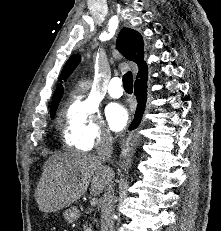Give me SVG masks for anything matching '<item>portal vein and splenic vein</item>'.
I'll use <instances>...</instances> for the list:
<instances>
[{
  "label": "portal vein and splenic vein",
  "mask_w": 221,
  "mask_h": 231,
  "mask_svg": "<svg viewBox=\"0 0 221 231\" xmlns=\"http://www.w3.org/2000/svg\"><path fill=\"white\" fill-rule=\"evenodd\" d=\"M90 204L91 206H96L98 204V200L96 198H92Z\"/></svg>",
  "instance_id": "1"
}]
</instances>
